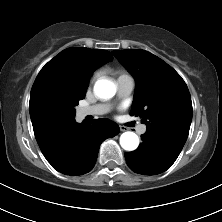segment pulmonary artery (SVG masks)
Instances as JSON below:
<instances>
[{
  "instance_id": "1",
  "label": "pulmonary artery",
  "mask_w": 222,
  "mask_h": 222,
  "mask_svg": "<svg viewBox=\"0 0 222 222\" xmlns=\"http://www.w3.org/2000/svg\"><path fill=\"white\" fill-rule=\"evenodd\" d=\"M135 82L134 79L129 76V75H123L118 77L117 79V96L118 98H125L134 89ZM110 110V105L109 104H97L93 106H88V107H82L78 111V115L80 117H86L88 115H102L107 113ZM138 133L143 134L146 132V126L145 125H140L138 127Z\"/></svg>"
}]
</instances>
